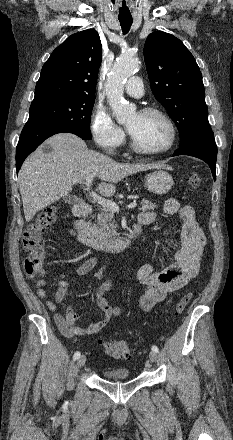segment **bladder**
<instances>
[{
	"label": "bladder",
	"mask_w": 233,
	"mask_h": 440,
	"mask_svg": "<svg viewBox=\"0 0 233 440\" xmlns=\"http://www.w3.org/2000/svg\"><path fill=\"white\" fill-rule=\"evenodd\" d=\"M104 376L110 380H127L130 378L129 371L125 368H110L104 371Z\"/></svg>",
	"instance_id": "obj_1"
}]
</instances>
